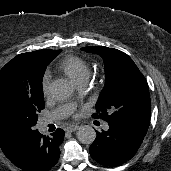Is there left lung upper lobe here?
<instances>
[{"instance_id": "1", "label": "left lung upper lobe", "mask_w": 171, "mask_h": 171, "mask_svg": "<svg viewBox=\"0 0 171 171\" xmlns=\"http://www.w3.org/2000/svg\"><path fill=\"white\" fill-rule=\"evenodd\" d=\"M82 50L98 54L105 61L106 85L96 104L100 117L147 132L151 114L149 88L132 59L114 48L90 46Z\"/></svg>"}]
</instances>
